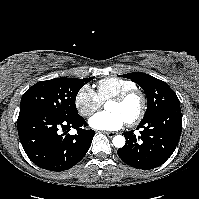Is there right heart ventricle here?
<instances>
[{
	"mask_svg": "<svg viewBox=\"0 0 199 199\" xmlns=\"http://www.w3.org/2000/svg\"><path fill=\"white\" fill-rule=\"evenodd\" d=\"M96 88V93L100 101L106 102L124 91L136 88V84L127 79L109 77L100 80Z\"/></svg>",
	"mask_w": 199,
	"mask_h": 199,
	"instance_id": "1",
	"label": "right heart ventricle"
}]
</instances>
